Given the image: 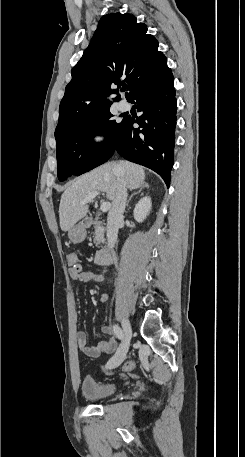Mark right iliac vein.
Returning a JSON list of instances; mask_svg holds the SVG:
<instances>
[{
	"label": "right iliac vein",
	"instance_id": "63e3f726",
	"mask_svg": "<svg viewBox=\"0 0 245 457\" xmlns=\"http://www.w3.org/2000/svg\"><path fill=\"white\" fill-rule=\"evenodd\" d=\"M122 325L125 332V337L117 349L115 355L107 362L106 367L110 369L118 367L124 361L130 344V339L132 336L130 322L127 319H124Z\"/></svg>",
	"mask_w": 245,
	"mask_h": 457
}]
</instances>
